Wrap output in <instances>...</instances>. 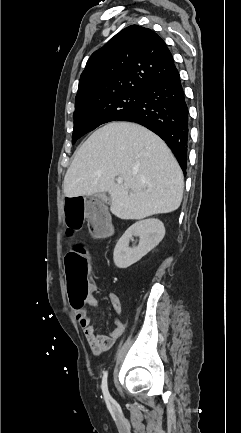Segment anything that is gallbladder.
<instances>
[{
    "instance_id": "obj_1",
    "label": "gallbladder",
    "mask_w": 241,
    "mask_h": 433,
    "mask_svg": "<svg viewBox=\"0 0 241 433\" xmlns=\"http://www.w3.org/2000/svg\"><path fill=\"white\" fill-rule=\"evenodd\" d=\"M98 201L99 205L96 208H92L89 206V210L93 211L95 213H99L100 210H102L105 214H107V207L102 204L103 202H106L108 200V197L105 193H97L93 196L88 197V202L91 203L92 201Z\"/></svg>"
}]
</instances>
